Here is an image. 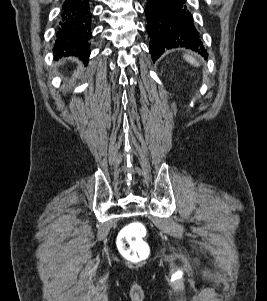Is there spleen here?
I'll return each mask as SVG.
<instances>
[{"instance_id": "spleen-1", "label": "spleen", "mask_w": 267, "mask_h": 301, "mask_svg": "<svg viewBox=\"0 0 267 301\" xmlns=\"http://www.w3.org/2000/svg\"><path fill=\"white\" fill-rule=\"evenodd\" d=\"M184 59L188 62V63H190V64H192V65H194V66H199V63L197 62V60L195 59V58H193L192 56H190V55H184Z\"/></svg>"}]
</instances>
